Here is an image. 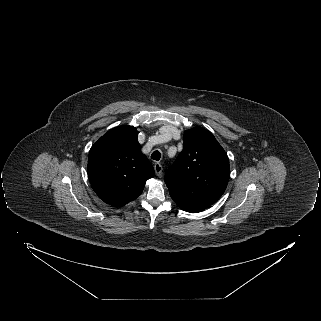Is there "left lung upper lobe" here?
I'll list each match as a JSON object with an SVG mask.
<instances>
[{
	"instance_id": "obj_1",
	"label": "left lung upper lobe",
	"mask_w": 321,
	"mask_h": 321,
	"mask_svg": "<svg viewBox=\"0 0 321 321\" xmlns=\"http://www.w3.org/2000/svg\"><path fill=\"white\" fill-rule=\"evenodd\" d=\"M183 137L184 149L166 172L165 183L178 206L206 209L227 187L229 159L206 129L187 130Z\"/></svg>"
}]
</instances>
